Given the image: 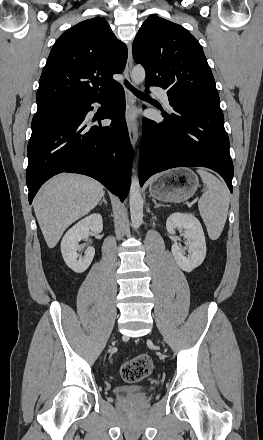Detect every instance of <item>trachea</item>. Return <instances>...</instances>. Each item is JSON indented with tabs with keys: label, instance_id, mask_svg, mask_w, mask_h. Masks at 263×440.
Segmentation results:
<instances>
[{
	"label": "trachea",
	"instance_id": "trachea-1",
	"mask_svg": "<svg viewBox=\"0 0 263 440\" xmlns=\"http://www.w3.org/2000/svg\"><path fill=\"white\" fill-rule=\"evenodd\" d=\"M125 85L127 86L128 89H130L135 95L139 96V97H147V95H145L144 93L138 91L137 89H135L128 81H125Z\"/></svg>",
	"mask_w": 263,
	"mask_h": 440
}]
</instances>
